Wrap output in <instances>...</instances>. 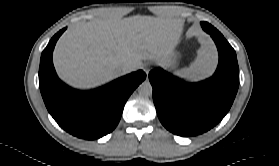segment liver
Wrapping results in <instances>:
<instances>
[{
  "instance_id": "1",
  "label": "liver",
  "mask_w": 279,
  "mask_h": 166,
  "mask_svg": "<svg viewBox=\"0 0 279 166\" xmlns=\"http://www.w3.org/2000/svg\"><path fill=\"white\" fill-rule=\"evenodd\" d=\"M182 20L131 16L108 17L71 27L54 50L61 79L88 89L121 76L124 64L141 67L142 60L161 61L178 43Z\"/></svg>"
}]
</instances>
